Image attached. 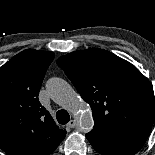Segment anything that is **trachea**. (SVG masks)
<instances>
[{
    "instance_id": "3493384b",
    "label": "trachea",
    "mask_w": 155,
    "mask_h": 155,
    "mask_svg": "<svg viewBox=\"0 0 155 155\" xmlns=\"http://www.w3.org/2000/svg\"><path fill=\"white\" fill-rule=\"evenodd\" d=\"M56 118H57V121L60 123V124H62V125H64V124H66L67 122H69V120H70V115H69V113L66 111V110H59V111H57V113H56Z\"/></svg>"
}]
</instances>
